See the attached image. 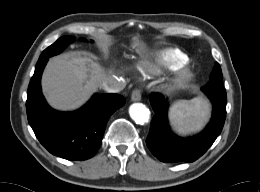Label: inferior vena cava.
I'll return each instance as SVG.
<instances>
[{"instance_id":"inferior-vena-cava-1","label":"inferior vena cava","mask_w":260,"mask_h":192,"mask_svg":"<svg viewBox=\"0 0 260 192\" xmlns=\"http://www.w3.org/2000/svg\"><path fill=\"white\" fill-rule=\"evenodd\" d=\"M99 87L108 93H118L124 89L125 84L115 76H107Z\"/></svg>"}]
</instances>
